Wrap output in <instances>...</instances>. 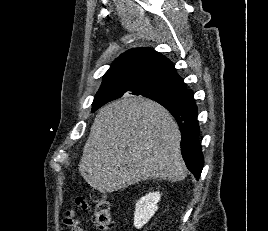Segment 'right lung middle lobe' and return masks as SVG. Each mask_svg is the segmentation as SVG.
Returning a JSON list of instances; mask_svg holds the SVG:
<instances>
[{"label":"right lung middle lobe","mask_w":268,"mask_h":231,"mask_svg":"<svg viewBox=\"0 0 268 231\" xmlns=\"http://www.w3.org/2000/svg\"><path fill=\"white\" fill-rule=\"evenodd\" d=\"M127 90L128 89L119 87L107 88L101 93L99 101L106 100L115 95L123 94ZM128 91H132L134 95H142L157 102L168 101L175 105L184 106L190 105L194 102L193 93L182 91L173 86L154 81L139 83L137 85L132 86ZM102 105L104 104L93 102L92 112L97 110Z\"/></svg>","instance_id":"right-lung-middle-lobe-1"}]
</instances>
